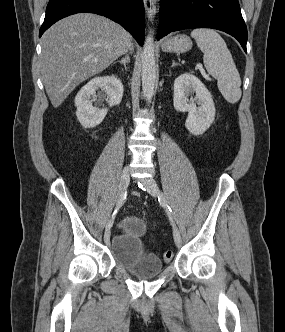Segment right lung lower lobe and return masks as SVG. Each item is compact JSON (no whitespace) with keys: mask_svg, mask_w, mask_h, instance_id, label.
I'll return each mask as SVG.
<instances>
[{"mask_svg":"<svg viewBox=\"0 0 285 332\" xmlns=\"http://www.w3.org/2000/svg\"><path fill=\"white\" fill-rule=\"evenodd\" d=\"M81 12L96 13L121 24L140 45L144 43V6L142 0H50L39 37L55 22Z\"/></svg>","mask_w":285,"mask_h":332,"instance_id":"98d812e1","label":"right lung lower lobe"}]
</instances>
